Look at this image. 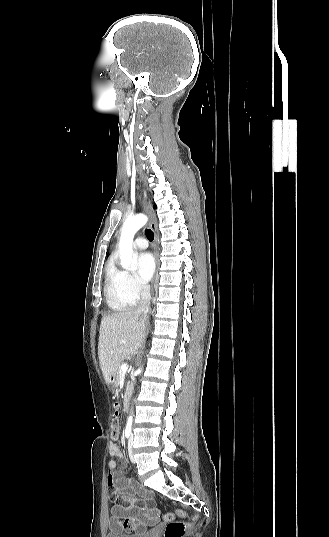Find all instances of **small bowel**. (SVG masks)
I'll return each instance as SVG.
<instances>
[{
  "label": "small bowel",
  "instance_id": "c3829d8e",
  "mask_svg": "<svg viewBox=\"0 0 329 537\" xmlns=\"http://www.w3.org/2000/svg\"><path fill=\"white\" fill-rule=\"evenodd\" d=\"M112 408L113 413H118L123 405L116 401ZM109 453L112 457L123 458L122 450L116 443L109 444ZM123 466L114 460L108 464L109 500L112 505L109 526L117 531L143 533L148 526L158 522L159 511L153 503L150 491L139 486L132 478L126 477L120 470Z\"/></svg>",
  "mask_w": 329,
  "mask_h": 537
}]
</instances>
